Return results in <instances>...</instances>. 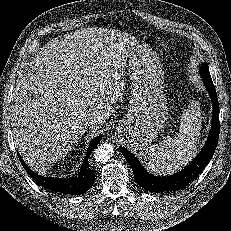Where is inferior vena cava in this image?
Returning a JSON list of instances; mask_svg holds the SVG:
<instances>
[{
    "mask_svg": "<svg viewBox=\"0 0 231 231\" xmlns=\"http://www.w3.org/2000/svg\"><path fill=\"white\" fill-rule=\"evenodd\" d=\"M86 125L87 126H100V125H102V122H100V121H98V120H96V119H89V120H87L86 121Z\"/></svg>",
    "mask_w": 231,
    "mask_h": 231,
    "instance_id": "inferior-vena-cava-1",
    "label": "inferior vena cava"
}]
</instances>
